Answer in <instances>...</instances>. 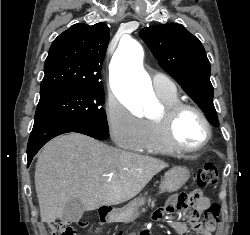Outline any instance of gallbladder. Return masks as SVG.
Wrapping results in <instances>:
<instances>
[{
    "label": "gallbladder",
    "mask_w": 250,
    "mask_h": 235,
    "mask_svg": "<svg viewBox=\"0 0 250 235\" xmlns=\"http://www.w3.org/2000/svg\"><path fill=\"white\" fill-rule=\"evenodd\" d=\"M84 213L83 204L80 199H71L64 207L61 221L64 223L78 222Z\"/></svg>",
    "instance_id": "gallbladder-1"
}]
</instances>
